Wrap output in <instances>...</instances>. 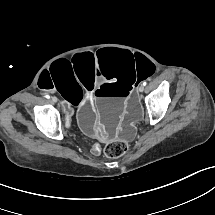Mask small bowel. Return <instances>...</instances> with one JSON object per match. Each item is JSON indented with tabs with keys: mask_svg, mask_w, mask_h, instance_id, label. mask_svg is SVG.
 <instances>
[{
	"mask_svg": "<svg viewBox=\"0 0 215 215\" xmlns=\"http://www.w3.org/2000/svg\"><path fill=\"white\" fill-rule=\"evenodd\" d=\"M67 95H71V94H67ZM93 149H95L96 151H97V153H99L100 152V148H99V146H95Z\"/></svg>",
	"mask_w": 215,
	"mask_h": 215,
	"instance_id": "c3829d8e",
	"label": "small bowel"
}]
</instances>
